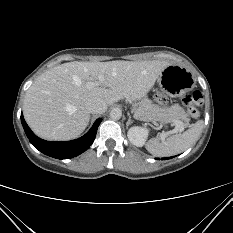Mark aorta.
Wrapping results in <instances>:
<instances>
[{"instance_id":"1","label":"aorta","mask_w":233,"mask_h":233,"mask_svg":"<svg viewBox=\"0 0 233 233\" xmlns=\"http://www.w3.org/2000/svg\"><path fill=\"white\" fill-rule=\"evenodd\" d=\"M122 116V111L119 108H114L110 112V117L113 120H119Z\"/></svg>"}]
</instances>
